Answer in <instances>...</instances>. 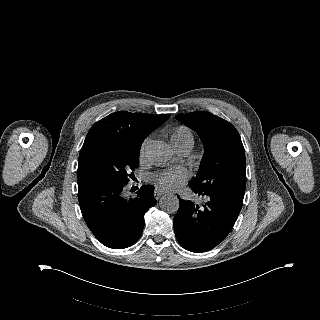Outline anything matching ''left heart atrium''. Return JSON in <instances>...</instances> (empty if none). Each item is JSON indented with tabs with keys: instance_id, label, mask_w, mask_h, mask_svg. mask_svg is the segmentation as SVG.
I'll return each instance as SVG.
<instances>
[{
	"instance_id": "left-heart-atrium-1",
	"label": "left heart atrium",
	"mask_w": 320,
	"mask_h": 320,
	"mask_svg": "<svg viewBox=\"0 0 320 320\" xmlns=\"http://www.w3.org/2000/svg\"><path fill=\"white\" fill-rule=\"evenodd\" d=\"M153 178L164 189L175 190L187 179V173L180 169L166 170L154 175Z\"/></svg>"
}]
</instances>
